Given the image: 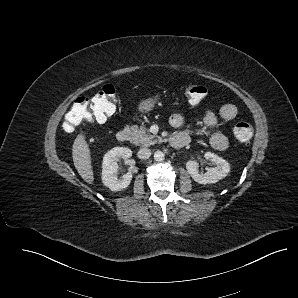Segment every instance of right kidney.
Masks as SVG:
<instances>
[{
  "label": "right kidney",
  "mask_w": 298,
  "mask_h": 298,
  "mask_svg": "<svg viewBox=\"0 0 298 298\" xmlns=\"http://www.w3.org/2000/svg\"><path fill=\"white\" fill-rule=\"evenodd\" d=\"M132 156V151L128 147L117 146L108 150L101 163V181L102 184L111 190L125 189L132 178L130 172H125L121 177L114 175L118 170V159H128Z\"/></svg>",
  "instance_id": "ca27d5eb"
}]
</instances>
